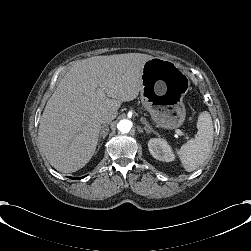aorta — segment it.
<instances>
[{
	"label": "aorta",
	"instance_id": "aorta-1",
	"mask_svg": "<svg viewBox=\"0 0 251 251\" xmlns=\"http://www.w3.org/2000/svg\"><path fill=\"white\" fill-rule=\"evenodd\" d=\"M132 122L129 119H122L118 125L117 128L120 132L127 133L132 128Z\"/></svg>",
	"mask_w": 251,
	"mask_h": 251
}]
</instances>
